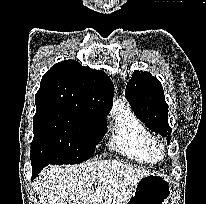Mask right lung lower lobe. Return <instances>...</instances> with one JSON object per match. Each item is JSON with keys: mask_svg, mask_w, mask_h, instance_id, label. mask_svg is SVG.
Here are the masks:
<instances>
[{"mask_svg": "<svg viewBox=\"0 0 206 204\" xmlns=\"http://www.w3.org/2000/svg\"><path fill=\"white\" fill-rule=\"evenodd\" d=\"M47 166L46 164L44 163H41V164H33L32 163V180L39 174V172L45 167Z\"/></svg>", "mask_w": 206, "mask_h": 204, "instance_id": "right-lung-lower-lobe-1", "label": "right lung lower lobe"}]
</instances>
